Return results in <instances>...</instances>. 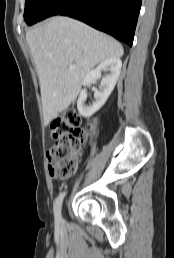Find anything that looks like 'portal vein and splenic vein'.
I'll return each instance as SVG.
<instances>
[{"instance_id":"18ae733b","label":"portal vein and splenic vein","mask_w":174,"mask_h":258,"mask_svg":"<svg viewBox=\"0 0 174 258\" xmlns=\"http://www.w3.org/2000/svg\"><path fill=\"white\" fill-rule=\"evenodd\" d=\"M69 69H70V70H74V69H76V66L70 65V66H69Z\"/></svg>"}]
</instances>
